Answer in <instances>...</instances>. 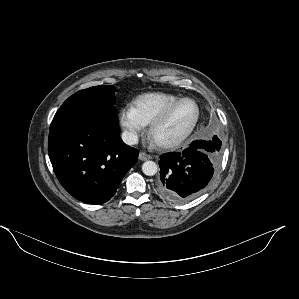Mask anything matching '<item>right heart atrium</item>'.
Wrapping results in <instances>:
<instances>
[{
	"mask_svg": "<svg viewBox=\"0 0 299 299\" xmlns=\"http://www.w3.org/2000/svg\"><path fill=\"white\" fill-rule=\"evenodd\" d=\"M119 124L124 136L129 143H136L140 135L145 131V124L136 115L132 106L121 109L119 113Z\"/></svg>",
	"mask_w": 299,
	"mask_h": 299,
	"instance_id": "right-heart-atrium-1",
	"label": "right heart atrium"
}]
</instances>
